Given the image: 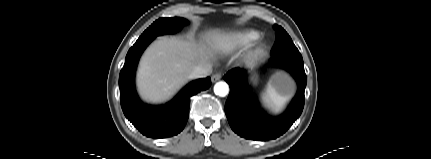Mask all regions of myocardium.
<instances>
[{
	"mask_svg": "<svg viewBox=\"0 0 431 159\" xmlns=\"http://www.w3.org/2000/svg\"><path fill=\"white\" fill-rule=\"evenodd\" d=\"M265 49H266V44L265 43H263V42H259L258 44H257V46H256V51L257 52H264L265 51Z\"/></svg>",
	"mask_w": 431,
	"mask_h": 159,
	"instance_id": "obj_1",
	"label": "myocardium"
}]
</instances>
